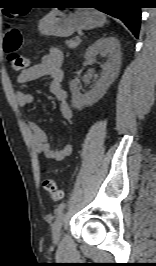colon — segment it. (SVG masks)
I'll list each match as a JSON object with an SVG mask.
<instances>
[{"label":"colon","mask_w":156,"mask_h":266,"mask_svg":"<svg viewBox=\"0 0 156 266\" xmlns=\"http://www.w3.org/2000/svg\"><path fill=\"white\" fill-rule=\"evenodd\" d=\"M20 15L24 14L21 13ZM22 42V34L19 29L15 27H8L6 29L3 46L8 53V62L13 71L20 73L26 70L28 66V59L17 53L22 46ZM43 187L53 200L61 199L62 192L58 189L57 183L53 178L47 177L44 179Z\"/></svg>","instance_id":"5ec220e1"}]
</instances>
